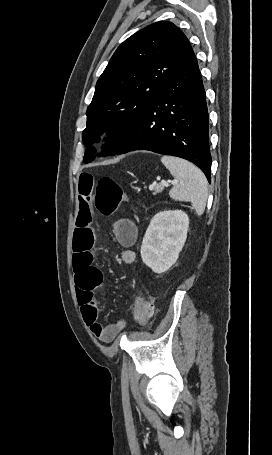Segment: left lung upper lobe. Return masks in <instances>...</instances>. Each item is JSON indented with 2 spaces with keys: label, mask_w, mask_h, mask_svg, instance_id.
<instances>
[{
  "label": "left lung upper lobe",
  "mask_w": 272,
  "mask_h": 455,
  "mask_svg": "<svg viewBox=\"0 0 272 455\" xmlns=\"http://www.w3.org/2000/svg\"><path fill=\"white\" fill-rule=\"evenodd\" d=\"M194 59L187 37L168 21L151 24L125 40L98 79L87 108L84 162L94 159L90 146L108 129L113 134L102 155L112 154L166 84Z\"/></svg>",
  "instance_id": "1"
}]
</instances>
